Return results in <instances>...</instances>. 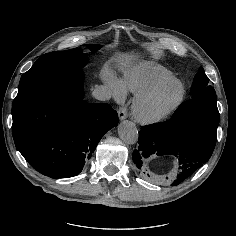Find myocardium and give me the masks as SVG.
<instances>
[{
    "label": "myocardium",
    "instance_id": "f54148a6",
    "mask_svg": "<svg viewBox=\"0 0 236 236\" xmlns=\"http://www.w3.org/2000/svg\"><path fill=\"white\" fill-rule=\"evenodd\" d=\"M172 84H176L179 87V92L176 98L161 112L152 115L146 113L143 109L144 103L159 90ZM184 96L185 86L179 79L171 78L156 82L137 93L132 103V116L137 123L142 125H156L162 123L180 107Z\"/></svg>",
    "mask_w": 236,
    "mask_h": 236
}]
</instances>
